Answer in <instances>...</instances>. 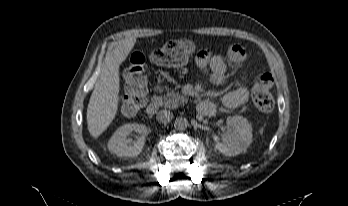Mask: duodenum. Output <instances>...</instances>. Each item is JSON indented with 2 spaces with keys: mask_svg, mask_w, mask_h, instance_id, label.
<instances>
[{
  "mask_svg": "<svg viewBox=\"0 0 348 206\" xmlns=\"http://www.w3.org/2000/svg\"><path fill=\"white\" fill-rule=\"evenodd\" d=\"M161 106V100L159 98H154L147 107V113L149 115H155ZM198 113L204 116H210L214 113V107L209 102H202L198 105Z\"/></svg>",
  "mask_w": 348,
  "mask_h": 206,
  "instance_id": "duodenum-1",
  "label": "duodenum"
}]
</instances>
